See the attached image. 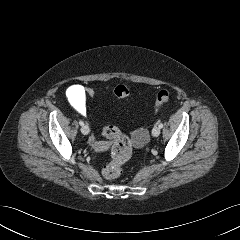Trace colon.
<instances>
[{
    "label": "colon",
    "instance_id": "colon-1",
    "mask_svg": "<svg viewBox=\"0 0 240 240\" xmlns=\"http://www.w3.org/2000/svg\"><path fill=\"white\" fill-rule=\"evenodd\" d=\"M86 96L93 98L95 90L92 87H85ZM117 99H124L130 95V90L125 85H118L114 89ZM171 99L169 90H160L155 99V110L168 103ZM102 134L112 140L111 160L103 168V175L106 179L115 180L119 178L123 165L131 158L132 141L123 134L116 126L108 125L102 128Z\"/></svg>",
    "mask_w": 240,
    "mask_h": 240
}]
</instances>
